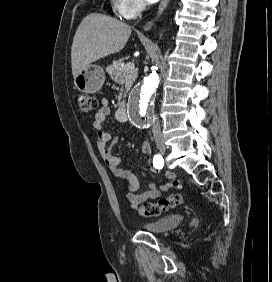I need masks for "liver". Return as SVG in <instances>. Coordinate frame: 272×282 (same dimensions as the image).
<instances>
[{
    "mask_svg": "<svg viewBox=\"0 0 272 282\" xmlns=\"http://www.w3.org/2000/svg\"><path fill=\"white\" fill-rule=\"evenodd\" d=\"M131 32L129 25L114 17L100 13L87 15L77 28L71 47L74 79L91 63L121 51Z\"/></svg>",
    "mask_w": 272,
    "mask_h": 282,
    "instance_id": "liver-1",
    "label": "liver"
}]
</instances>
